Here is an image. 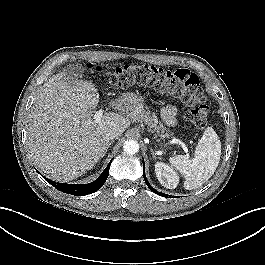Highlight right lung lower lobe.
Masks as SVG:
<instances>
[{"instance_id":"right-lung-lower-lobe-1","label":"right lung lower lobe","mask_w":265,"mask_h":265,"mask_svg":"<svg viewBox=\"0 0 265 265\" xmlns=\"http://www.w3.org/2000/svg\"><path fill=\"white\" fill-rule=\"evenodd\" d=\"M113 160V159H112ZM107 165L105 170L102 172V174L93 182L88 184H65V183H56L55 181H52L48 178H44L49 184L56 187L59 191H62L64 193H68L75 196H85L88 194H91L98 189H100L105 181L108 178L110 164Z\"/></svg>"}]
</instances>
